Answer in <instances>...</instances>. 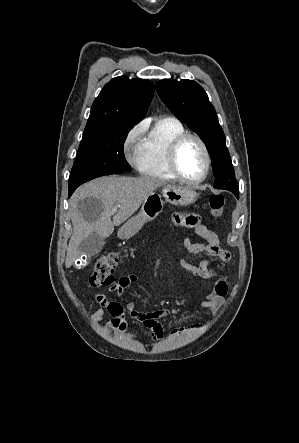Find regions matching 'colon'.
I'll use <instances>...</instances> for the list:
<instances>
[{"instance_id":"colon-1","label":"colon","mask_w":299,"mask_h":443,"mask_svg":"<svg viewBox=\"0 0 299 443\" xmlns=\"http://www.w3.org/2000/svg\"><path fill=\"white\" fill-rule=\"evenodd\" d=\"M210 214L220 217L224 210V198L220 195H212L209 199ZM120 261V253L110 251L101 255L96 261L89 277L92 287L106 286L112 283V273Z\"/></svg>"}]
</instances>
